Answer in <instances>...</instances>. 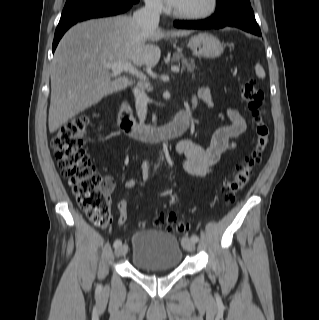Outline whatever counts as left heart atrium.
I'll list each match as a JSON object with an SVG mask.
<instances>
[{"mask_svg": "<svg viewBox=\"0 0 319 320\" xmlns=\"http://www.w3.org/2000/svg\"><path fill=\"white\" fill-rule=\"evenodd\" d=\"M165 2L168 6L176 9L181 4L182 0H165Z\"/></svg>", "mask_w": 319, "mask_h": 320, "instance_id": "1", "label": "left heart atrium"}]
</instances>
